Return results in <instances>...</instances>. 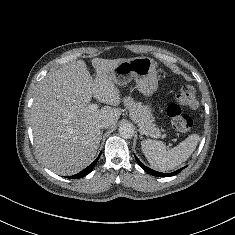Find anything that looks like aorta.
Instances as JSON below:
<instances>
[{"instance_id": "762f6f07", "label": "aorta", "mask_w": 235, "mask_h": 235, "mask_svg": "<svg viewBox=\"0 0 235 235\" xmlns=\"http://www.w3.org/2000/svg\"><path fill=\"white\" fill-rule=\"evenodd\" d=\"M118 131H119L120 136L125 139H130L134 135V129L131 124L125 123V124L121 125L119 127Z\"/></svg>"}]
</instances>
